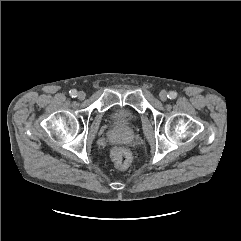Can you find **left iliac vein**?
I'll return each mask as SVG.
<instances>
[{
  "mask_svg": "<svg viewBox=\"0 0 241 241\" xmlns=\"http://www.w3.org/2000/svg\"><path fill=\"white\" fill-rule=\"evenodd\" d=\"M167 92L166 91H161L159 94V98L161 101H166L167 100Z\"/></svg>",
  "mask_w": 241,
  "mask_h": 241,
  "instance_id": "4c4485c4",
  "label": "left iliac vein"
}]
</instances>
